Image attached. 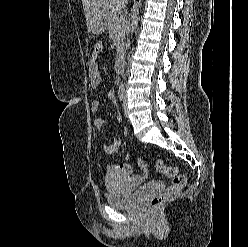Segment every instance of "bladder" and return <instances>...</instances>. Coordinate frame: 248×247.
Masks as SVG:
<instances>
[{"label":"bladder","mask_w":248,"mask_h":247,"mask_svg":"<svg viewBox=\"0 0 248 247\" xmlns=\"http://www.w3.org/2000/svg\"><path fill=\"white\" fill-rule=\"evenodd\" d=\"M107 201L117 208H130L139 201L141 195L146 192V187L130 190L127 177L121 171H111L105 177Z\"/></svg>","instance_id":"bladder-1"}]
</instances>
